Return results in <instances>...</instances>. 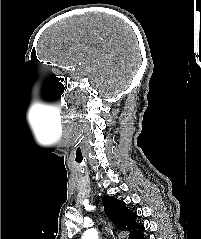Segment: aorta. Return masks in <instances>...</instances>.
<instances>
[{
	"label": "aorta",
	"mask_w": 201,
	"mask_h": 239,
	"mask_svg": "<svg viewBox=\"0 0 201 239\" xmlns=\"http://www.w3.org/2000/svg\"><path fill=\"white\" fill-rule=\"evenodd\" d=\"M82 239H98V233L95 229H89L83 234Z\"/></svg>",
	"instance_id": "762f6f07"
}]
</instances>
